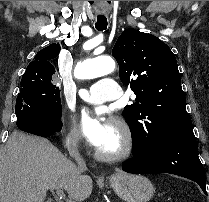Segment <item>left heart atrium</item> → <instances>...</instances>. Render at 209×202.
Masks as SVG:
<instances>
[{
  "label": "left heart atrium",
  "mask_w": 209,
  "mask_h": 202,
  "mask_svg": "<svg viewBox=\"0 0 209 202\" xmlns=\"http://www.w3.org/2000/svg\"><path fill=\"white\" fill-rule=\"evenodd\" d=\"M79 128L87 143L98 148L107 135L109 123L101 113L86 109L79 117Z\"/></svg>",
  "instance_id": "1"
}]
</instances>
